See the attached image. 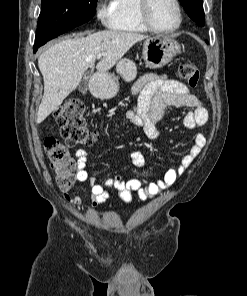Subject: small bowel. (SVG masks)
Returning a JSON list of instances; mask_svg holds the SVG:
<instances>
[{
    "instance_id": "c3829d8e",
    "label": "small bowel",
    "mask_w": 247,
    "mask_h": 296,
    "mask_svg": "<svg viewBox=\"0 0 247 296\" xmlns=\"http://www.w3.org/2000/svg\"><path fill=\"white\" fill-rule=\"evenodd\" d=\"M132 95L135 100L132 109L124 115L126 123L130 127L142 129L149 139L159 138L157 124L163 119L167 107L189 109L182 117L183 125L189 130H195L208 121V111L202 100L185 84L167 76L145 74L134 84ZM206 144V137L201 133H195L188 153L181 158L178 165L168 169L163 177L150 181L140 178L124 180L120 176H113L99 183L86 170L88 154L84 150H78L76 157L79 169L76 179L80 183L86 182L90 185L92 208L104 204L112 190H115L120 199L126 203L132 202L133 194H137L140 200L147 201L174 185ZM131 158L137 168L143 167L146 163L145 155L139 150L133 151ZM64 197L73 205L81 202L80 195L75 191L65 194Z\"/></svg>"
}]
</instances>
